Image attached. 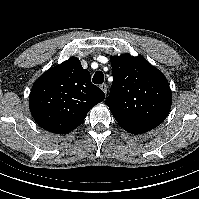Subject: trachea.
Listing matches in <instances>:
<instances>
[{
	"label": "trachea",
	"instance_id": "trachea-1",
	"mask_svg": "<svg viewBox=\"0 0 199 199\" xmlns=\"http://www.w3.org/2000/svg\"><path fill=\"white\" fill-rule=\"evenodd\" d=\"M94 84H102L104 82V75L101 71H97L92 79Z\"/></svg>",
	"mask_w": 199,
	"mask_h": 199
}]
</instances>
